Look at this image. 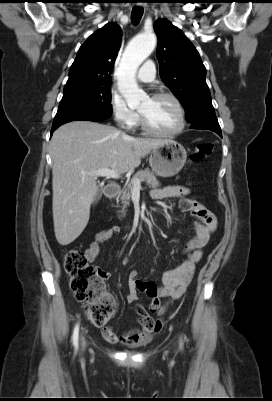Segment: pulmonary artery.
<instances>
[{
	"instance_id": "1",
	"label": "pulmonary artery",
	"mask_w": 272,
	"mask_h": 401,
	"mask_svg": "<svg viewBox=\"0 0 272 401\" xmlns=\"http://www.w3.org/2000/svg\"><path fill=\"white\" fill-rule=\"evenodd\" d=\"M137 78L141 82H151L155 78V66L152 61H146L140 69Z\"/></svg>"
}]
</instances>
